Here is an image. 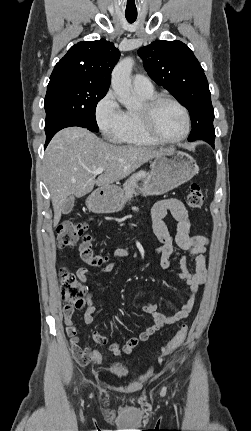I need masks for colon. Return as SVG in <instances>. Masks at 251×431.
I'll return each instance as SVG.
<instances>
[{
  "mask_svg": "<svg viewBox=\"0 0 251 431\" xmlns=\"http://www.w3.org/2000/svg\"><path fill=\"white\" fill-rule=\"evenodd\" d=\"M190 208H200L204 203V195L198 184L190 186L187 199ZM78 244L79 259L93 267H99L106 263L105 256L94 253L92 249V238L87 233V225L83 222L65 220L57 228V245L59 248L73 247ZM61 294L66 302L65 309L82 308L84 305L85 288L74 275L65 268L60 269ZM187 326L182 325L175 336L162 348L161 356L168 355L177 350L184 342ZM93 364L100 366L104 363L105 355L98 350L93 352Z\"/></svg>",
  "mask_w": 251,
  "mask_h": 431,
  "instance_id": "obj_1",
  "label": "colon"
}]
</instances>
